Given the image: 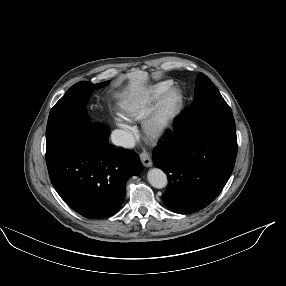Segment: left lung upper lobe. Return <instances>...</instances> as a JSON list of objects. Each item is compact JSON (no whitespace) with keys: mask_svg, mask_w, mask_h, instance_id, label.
Here are the masks:
<instances>
[{"mask_svg":"<svg viewBox=\"0 0 286 286\" xmlns=\"http://www.w3.org/2000/svg\"><path fill=\"white\" fill-rule=\"evenodd\" d=\"M235 127L232 111L217 87L203 73H199L195 85V98L190 110L181 119V132L200 127Z\"/></svg>","mask_w":286,"mask_h":286,"instance_id":"left-lung-upper-lobe-1","label":"left lung upper lobe"}]
</instances>
